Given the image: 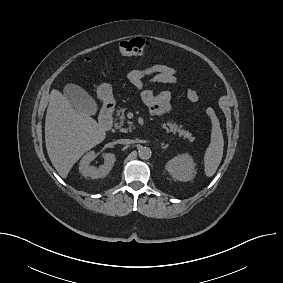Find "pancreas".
I'll use <instances>...</instances> for the list:
<instances>
[{
    "label": "pancreas",
    "mask_w": 283,
    "mask_h": 283,
    "mask_svg": "<svg viewBox=\"0 0 283 283\" xmlns=\"http://www.w3.org/2000/svg\"><path fill=\"white\" fill-rule=\"evenodd\" d=\"M124 112H125L124 108L120 109L117 112L118 119L116 120L115 128L120 129V131L122 132H127V129L122 127L126 119ZM129 124H130V129H131L132 123H129ZM161 126L163 129H165L167 133H172V134L178 133L179 137L188 139L191 142L194 140V137L192 136V134L189 131L184 130L182 125H177L176 123L168 121L167 123L161 124Z\"/></svg>",
    "instance_id": "cf45deb5"
}]
</instances>
